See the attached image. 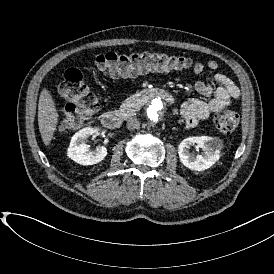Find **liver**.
I'll list each match as a JSON object with an SVG mask.
<instances>
[{"label": "liver", "instance_id": "6515ba94", "mask_svg": "<svg viewBox=\"0 0 274 274\" xmlns=\"http://www.w3.org/2000/svg\"><path fill=\"white\" fill-rule=\"evenodd\" d=\"M58 123V113L50 92L43 89L38 101V126L43 143L48 146Z\"/></svg>", "mask_w": 274, "mask_h": 274}]
</instances>
